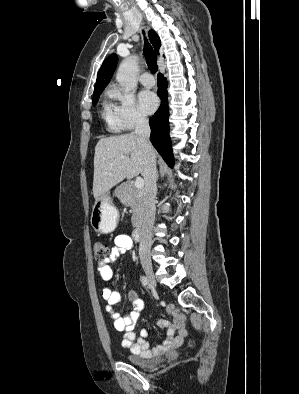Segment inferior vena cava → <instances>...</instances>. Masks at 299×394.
<instances>
[{
  "instance_id": "obj_1",
  "label": "inferior vena cava",
  "mask_w": 299,
  "mask_h": 394,
  "mask_svg": "<svg viewBox=\"0 0 299 394\" xmlns=\"http://www.w3.org/2000/svg\"><path fill=\"white\" fill-rule=\"evenodd\" d=\"M134 134L138 137L145 156L144 166V220L141 230L139 256L142 264H151L150 249L152 243V228L155 219L156 186V158L153 147L149 141L150 127L143 115H137Z\"/></svg>"
}]
</instances>
